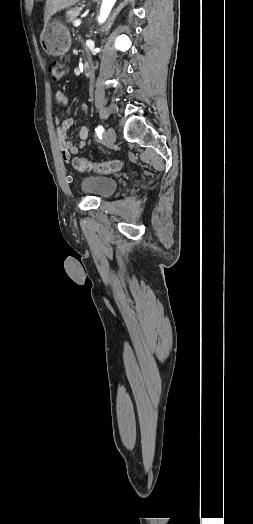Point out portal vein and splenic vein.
I'll list each match as a JSON object with an SVG mask.
<instances>
[{"mask_svg": "<svg viewBox=\"0 0 253 524\" xmlns=\"http://www.w3.org/2000/svg\"><path fill=\"white\" fill-rule=\"evenodd\" d=\"M73 24H74L75 27H78L81 24V20L80 19H76Z\"/></svg>", "mask_w": 253, "mask_h": 524, "instance_id": "18ae733b", "label": "portal vein and splenic vein"}]
</instances>
